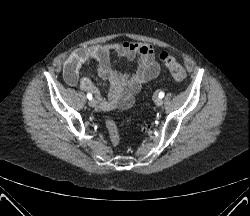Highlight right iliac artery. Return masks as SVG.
I'll list each match as a JSON object with an SVG mask.
<instances>
[{"mask_svg":"<svg viewBox=\"0 0 250 216\" xmlns=\"http://www.w3.org/2000/svg\"><path fill=\"white\" fill-rule=\"evenodd\" d=\"M87 98H88L89 100L92 99V94L88 93V94H87Z\"/></svg>","mask_w":250,"mask_h":216,"instance_id":"right-iliac-artery-1","label":"right iliac artery"}]
</instances>
